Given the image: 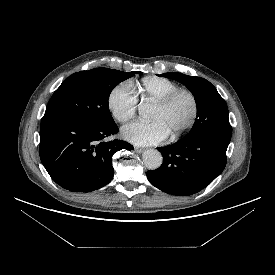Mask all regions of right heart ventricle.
I'll use <instances>...</instances> for the list:
<instances>
[{
    "label": "right heart ventricle",
    "instance_id": "1",
    "mask_svg": "<svg viewBox=\"0 0 275 275\" xmlns=\"http://www.w3.org/2000/svg\"><path fill=\"white\" fill-rule=\"evenodd\" d=\"M179 86L164 77H146L141 81L139 94L143 101L156 103Z\"/></svg>",
    "mask_w": 275,
    "mask_h": 275
}]
</instances>
